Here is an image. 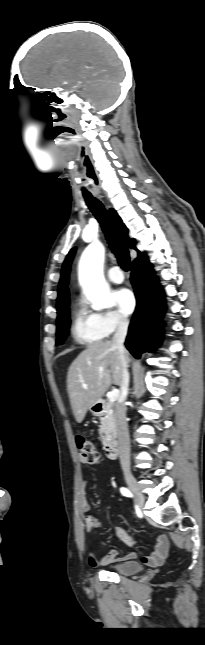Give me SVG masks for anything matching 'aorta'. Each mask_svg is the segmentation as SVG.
Listing matches in <instances>:
<instances>
[{
    "mask_svg": "<svg viewBox=\"0 0 205 645\" xmlns=\"http://www.w3.org/2000/svg\"><path fill=\"white\" fill-rule=\"evenodd\" d=\"M104 247L100 243L90 244L82 254L79 263V281L87 298L96 310L113 305L109 288L103 277Z\"/></svg>",
    "mask_w": 205,
    "mask_h": 645,
    "instance_id": "1",
    "label": "aorta"
}]
</instances>
